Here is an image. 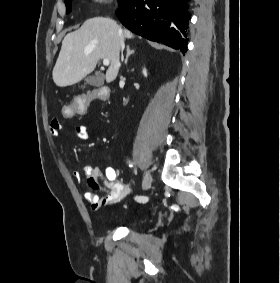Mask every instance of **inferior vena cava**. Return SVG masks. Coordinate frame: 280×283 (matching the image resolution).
<instances>
[{
    "label": "inferior vena cava",
    "instance_id": "602c4592",
    "mask_svg": "<svg viewBox=\"0 0 280 283\" xmlns=\"http://www.w3.org/2000/svg\"><path fill=\"white\" fill-rule=\"evenodd\" d=\"M120 47H121V49H123V47H124L123 39L120 40Z\"/></svg>",
    "mask_w": 280,
    "mask_h": 283
}]
</instances>
